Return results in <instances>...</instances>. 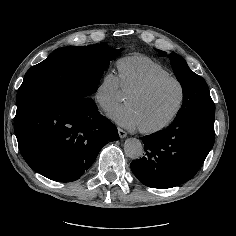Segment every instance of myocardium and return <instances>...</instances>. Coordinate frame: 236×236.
Returning <instances> with one entry per match:
<instances>
[{"instance_id": "myocardium-1", "label": "myocardium", "mask_w": 236, "mask_h": 236, "mask_svg": "<svg viewBox=\"0 0 236 236\" xmlns=\"http://www.w3.org/2000/svg\"><path fill=\"white\" fill-rule=\"evenodd\" d=\"M166 82H174V83H176L178 85V87L180 89V100H179L178 106L176 107V109L173 112V114L168 119H166L165 121L161 122L160 124H158L156 126H153V127H149V128H147V127H139V130L142 133H145V134L158 133V132L168 128L170 125H172L176 121V119L181 114V112H182V110L184 108V105H185V101H186V88H185L183 82L180 79H178L177 77L168 76V77L157 78V79L149 82L145 86L132 91L128 95V97H131V96H144V95L150 93L151 91H153L158 86H160V85H162V84H164Z\"/></svg>"}]
</instances>
